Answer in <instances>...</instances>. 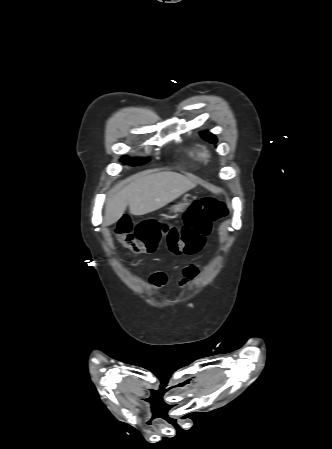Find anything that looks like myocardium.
I'll list each match as a JSON object with an SVG mask.
<instances>
[{
    "instance_id": "f54148a6",
    "label": "myocardium",
    "mask_w": 332,
    "mask_h": 449,
    "mask_svg": "<svg viewBox=\"0 0 332 449\" xmlns=\"http://www.w3.org/2000/svg\"><path fill=\"white\" fill-rule=\"evenodd\" d=\"M205 155L207 156V155H208V153L206 152V153H205Z\"/></svg>"
}]
</instances>
